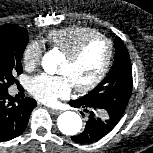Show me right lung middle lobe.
<instances>
[{
    "mask_svg": "<svg viewBox=\"0 0 153 153\" xmlns=\"http://www.w3.org/2000/svg\"><path fill=\"white\" fill-rule=\"evenodd\" d=\"M26 30L17 33H0V92L8 91L16 74L23 72L21 59L28 43Z\"/></svg>",
    "mask_w": 153,
    "mask_h": 153,
    "instance_id": "right-lung-middle-lobe-1",
    "label": "right lung middle lobe"
}]
</instances>
